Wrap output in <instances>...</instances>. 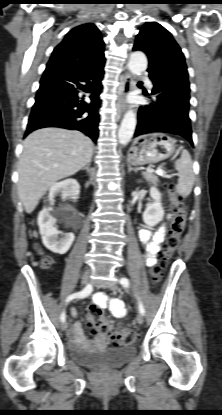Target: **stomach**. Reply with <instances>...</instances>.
I'll return each instance as SVG.
<instances>
[{"instance_id": "obj_1", "label": "stomach", "mask_w": 222, "mask_h": 415, "mask_svg": "<svg viewBox=\"0 0 222 415\" xmlns=\"http://www.w3.org/2000/svg\"><path fill=\"white\" fill-rule=\"evenodd\" d=\"M176 150V140L165 133H149L137 137L128 152L132 165L157 163L170 157Z\"/></svg>"}]
</instances>
